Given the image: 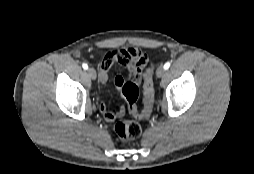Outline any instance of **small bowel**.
Segmentation results:
<instances>
[{"mask_svg": "<svg viewBox=\"0 0 254 174\" xmlns=\"http://www.w3.org/2000/svg\"><path fill=\"white\" fill-rule=\"evenodd\" d=\"M148 61L147 55L139 48H127L108 52L104 55L99 66V80L105 83L108 79V71L113 65H121L128 68L129 77L132 81L139 82L142 71ZM125 83L122 76L114 79L115 87L120 90ZM100 112L107 120H112L115 116L113 110L109 109L105 102L99 106Z\"/></svg>", "mask_w": 254, "mask_h": 174, "instance_id": "1", "label": "small bowel"}]
</instances>
